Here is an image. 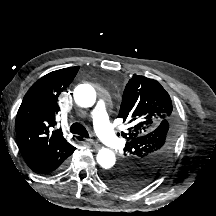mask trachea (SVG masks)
Here are the masks:
<instances>
[{
    "label": "trachea",
    "mask_w": 216,
    "mask_h": 216,
    "mask_svg": "<svg viewBox=\"0 0 216 216\" xmlns=\"http://www.w3.org/2000/svg\"><path fill=\"white\" fill-rule=\"evenodd\" d=\"M70 132L73 134H78L83 137H89L87 130L80 123H73L70 127Z\"/></svg>",
    "instance_id": "1"
}]
</instances>
